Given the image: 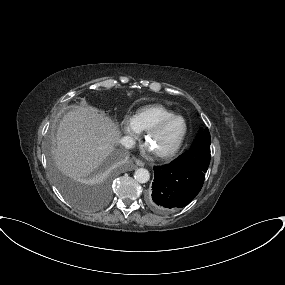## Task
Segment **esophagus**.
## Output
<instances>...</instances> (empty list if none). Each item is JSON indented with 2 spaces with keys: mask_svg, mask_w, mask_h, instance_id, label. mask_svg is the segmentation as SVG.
Returning a JSON list of instances; mask_svg holds the SVG:
<instances>
[{
  "mask_svg": "<svg viewBox=\"0 0 285 285\" xmlns=\"http://www.w3.org/2000/svg\"><path fill=\"white\" fill-rule=\"evenodd\" d=\"M135 162H136V165H137V166H140V167L144 166V163H143L141 160H136ZM137 166L132 165V166L129 168V170H135V169L137 168Z\"/></svg>",
  "mask_w": 285,
  "mask_h": 285,
  "instance_id": "1",
  "label": "esophagus"
}]
</instances>
